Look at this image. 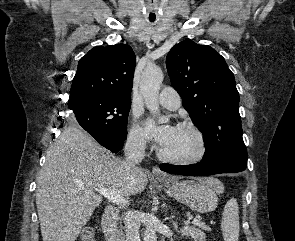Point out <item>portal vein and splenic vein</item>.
<instances>
[{"label": "portal vein and splenic vein", "instance_id": "obj_1", "mask_svg": "<svg viewBox=\"0 0 295 241\" xmlns=\"http://www.w3.org/2000/svg\"><path fill=\"white\" fill-rule=\"evenodd\" d=\"M97 191L100 195L104 196L107 200L114 204H126L128 201L122 197L121 195L117 194L115 191L105 188V187H99L97 188ZM192 224L196 226H201L202 222L200 220L194 219L192 221Z\"/></svg>", "mask_w": 295, "mask_h": 241}]
</instances>
